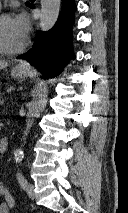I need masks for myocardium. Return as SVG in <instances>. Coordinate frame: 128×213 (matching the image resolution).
<instances>
[{
	"label": "myocardium",
	"mask_w": 128,
	"mask_h": 213,
	"mask_svg": "<svg viewBox=\"0 0 128 213\" xmlns=\"http://www.w3.org/2000/svg\"><path fill=\"white\" fill-rule=\"evenodd\" d=\"M5 18H10V15L6 14V13L1 14L0 15V22L3 19H5ZM24 49H25V43H22V45L17 47V48H9V47H7L2 42V39H1V36H0V53H3V54H16V53L22 52Z\"/></svg>",
	"instance_id": "f54148a6"
}]
</instances>
